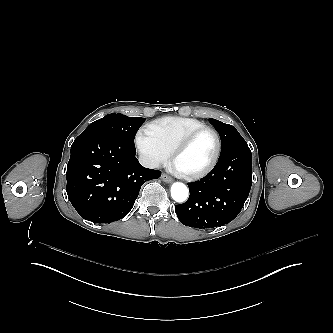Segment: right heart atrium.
<instances>
[{
  "mask_svg": "<svg viewBox=\"0 0 333 333\" xmlns=\"http://www.w3.org/2000/svg\"><path fill=\"white\" fill-rule=\"evenodd\" d=\"M136 147L144 160L153 168H159L165 165L167 161V153L161 148L148 144L142 139H137Z\"/></svg>",
  "mask_w": 333,
  "mask_h": 333,
  "instance_id": "obj_1",
  "label": "right heart atrium"
}]
</instances>
